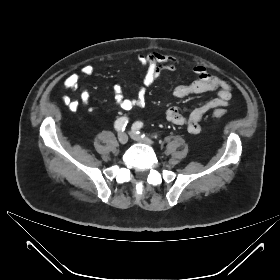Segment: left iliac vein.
<instances>
[{
	"instance_id": "4c4485c4",
	"label": "left iliac vein",
	"mask_w": 280,
	"mask_h": 280,
	"mask_svg": "<svg viewBox=\"0 0 280 280\" xmlns=\"http://www.w3.org/2000/svg\"><path fill=\"white\" fill-rule=\"evenodd\" d=\"M129 134L135 141L142 142L148 145L153 144V141L150 138L142 137L139 134H137L135 131H131Z\"/></svg>"
}]
</instances>
